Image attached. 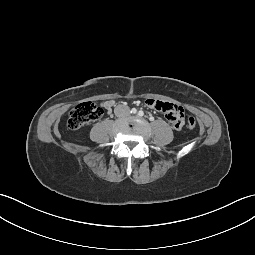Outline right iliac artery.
Wrapping results in <instances>:
<instances>
[{
	"mask_svg": "<svg viewBox=\"0 0 255 255\" xmlns=\"http://www.w3.org/2000/svg\"><path fill=\"white\" fill-rule=\"evenodd\" d=\"M131 113H132V114H136V113H137L136 108H132V109H131Z\"/></svg>",
	"mask_w": 255,
	"mask_h": 255,
	"instance_id": "82829eb1",
	"label": "right iliac artery"
}]
</instances>
